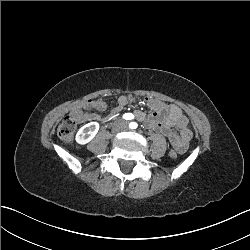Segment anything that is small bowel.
Here are the masks:
<instances>
[{"instance_id":"small-bowel-1","label":"small bowel","mask_w":250,"mask_h":250,"mask_svg":"<svg viewBox=\"0 0 250 250\" xmlns=\"http://www.w3.org/2000/svg\"><path fill=\"white\" fill-rule=\"evenodd\" d=\"M130 99L131 97L127 95L120 96L115 111L127 105ZM145 102L152 110V113L145 115L143 112L137 111V119L143 121L150 129L160 132L167 137L179 152H184L191 140L192 132L188 120L181 109L175 105L167 104L151 97L146 98ZM90 107L98 111H103L107 108V103L101 99L93 100L90 102ZM72 116L81 122L105 121V118L97 113L85 112L82 109L74 110ZM174 127L177 129V132L174 131Z\"/></svg>"}]
</instances>
